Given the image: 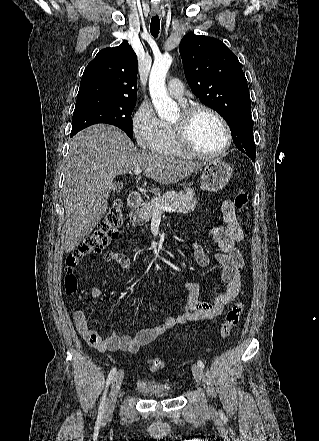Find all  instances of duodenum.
<instances>
[{"mask_svg":"<svg viewBox=\"0 0 319 441\" xmlns=\"http://www.w3.org/2000/svg\"><path fill=\"white\" fill-rule=\"evenodd\" d=\"M142 202V196L139 192L134 191L129 194L127 198V206L128 208H135Z\"/></svg>","mask_w":319,"mask_h":441,"instance_id":"obj_1","label":"duodenum"}]
</instances>
